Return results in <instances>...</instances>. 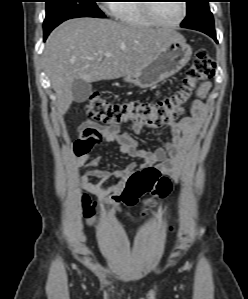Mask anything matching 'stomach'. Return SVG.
Here are the masks:
<instances>
[{"mask_svg": "<svg viewBox=\"0 0 248 299\" xmlns=\"http://www.w3.org/2000/svg\"><path fill=\"white\" fill-rule=\"evenodd\" d=\"M192 48L185 40L168 43L144 68L124 81L140 88L152 87L180 71L190 60Z\"/></svg>", "mask_w": 248, "mask_h": 299, "instance_id": "0dacf381", "label": "stomach"}]
</instances>
